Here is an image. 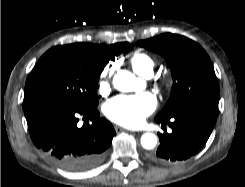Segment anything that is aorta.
Instances as JSON below:
<instances>
[{"label":"aorta","mask_w":245,"mask_h":187,"mask_svg":"<svg viewBox=\"0 0 245 187\" xmlns=\"http://www.w3.org/2000/svg\"><path fill=\"white\" fill-rule=\"evenodd\" d=\"M137 82L136 77L127 70L118 71L113 78L114 88L122 91L129 92L132 91ZM157 144V137L152 133H145L141 137V145L143 148L151 150Z\"/></svg>","instance_id":"762f6f07"}]
</instances>
